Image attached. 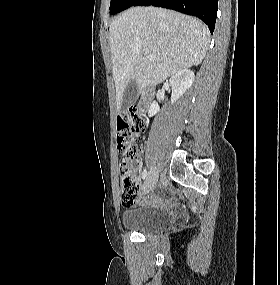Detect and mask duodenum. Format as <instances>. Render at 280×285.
Masks as SVG:
<instances>
[{"mask_svg":"<svg viewBox=\"0 0 280 285\" xmlns=\"http://www.w3.org/2000/svg\"><path fill=\"white\" fill-rule=\"evenodd\" d=\"M149 100H150V97H147L142 103L143 106H146Z\"/></svg>","mask_w":280,"mask_h":285,"instance_id":"obj_1","label":"duodenum"}]
</instances>
